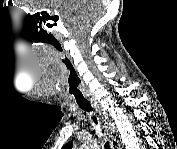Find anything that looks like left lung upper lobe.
I'll return each mask as SVG.
<instances>
[{
	"label": "left lung upper lobe",
	"mask_w": 177,
	"mask_h": 149,
	"mask_svg": "<svg viewBox=\"0 0 177 149\" xmlns=\"http://www.w3.org/2000/svg\"><path fill=\"white\" fill-rule=\"evenodd\" d=\"M72 146H73V143H72V142H69V143H67V144L64 146V148H65V149H71Z\"/></svg>",
	"instance_id": "obj_1"
}]
</instances>
